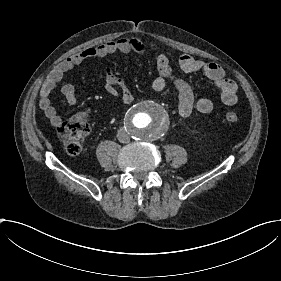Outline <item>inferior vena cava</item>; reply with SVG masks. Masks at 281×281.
<instances>
[{
	"instance_id": "obj_1",
	"label": "inferior vena cava",
	"mask_w": 281,
	"mask_h": 281,
	"mask_svg": "<svg viewBox=\"0 0 281 281\" xmlns=\"http://www.w3.org/2000/svg\"><path fill=\"white\" fill-rule=\"evenodd\" d=\"M117 138H118L119 142H121V143H129L130 142V137L127 134V132L125 131L124 128H120L118 130Z\"/></svg>"
}]
</instances>
